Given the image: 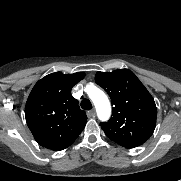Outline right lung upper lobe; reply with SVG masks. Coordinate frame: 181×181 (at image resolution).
<instances>
[{
  "label": "right lung upper lobe",
  "mask_w": 181,
  "mask_h": 181,
  "mask_svg": "<svg viewBox=\"0 0 181 181\" xmlns=\"http://www.w3.org/2000/svg\"><path fill=\"white\" fill-rule=\"evenodd\" d=\"M84 72L51 73L33 87L25 106L26 122L39 145L60 151L70 146L84 129L87 116L72 87L81 81Z\"/></svg>",
  "instance_id": "cb5924a9"
}]
</instances>
